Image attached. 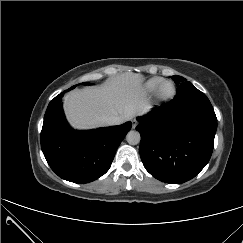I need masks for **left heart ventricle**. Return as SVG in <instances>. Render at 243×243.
<instances>
[{
    "label": "left heart ventricle",
    "instance_id": "1",
    "mask_svg": "<svg viewBox=\"0 0 243 243\" xmlns=\"http://www.w3.org/2000/svg\"><path fill=\"white\" fill-rule=\"evenodd\" d=\"M171 91H172V87H171L170 85H167V86L164 88L163 93H164L165 95H168V94L171 93Z\"/></svg>",
    "mask_w": 243,
    "mask_h": 243
}]
</instances>
